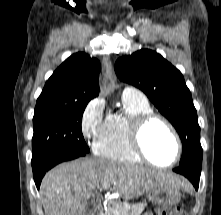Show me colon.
I'll return each instance as SVG.
<instances>
[{
    "mask_svg": "<svg viewBox=\"0 0 221 215\" xmlns=\"http://www.w3.org/2000/svg\"><path fill=\"white\" fill-rule=\"evenodd\" d=\"M157 215H185L178 207L159 209Z\"/></svg>",
    "mask_w": 221,
    "mask_h": 215,
    "instance_id": "5ec220e1",
    "label": "colon"
}]
</instances>
